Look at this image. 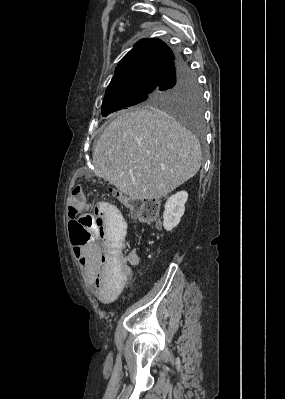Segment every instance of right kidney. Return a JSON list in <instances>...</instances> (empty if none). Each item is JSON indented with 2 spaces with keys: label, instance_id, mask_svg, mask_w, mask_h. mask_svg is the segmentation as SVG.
I'll return each mask as SVG.
<instances>
[{
  "label": "right kidney",
  "instance_id": "ca27d5eb",
  "mask_svg": "<svg viewBox=\"0 0 285 399\" xmlns=\"http://www.w3.org/2000/svg\"><path fill=\"white\" fill-rule=\"evenodd\" d=\"M187 199L188 193L186 191H180L167 199L163 213V226L165 230L171 231L179 224L185 211Z\"/></svg>",
  "mask_w": 285,
  "mask_h": 399
}]
</instances>
